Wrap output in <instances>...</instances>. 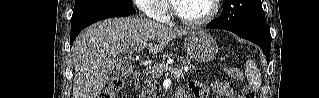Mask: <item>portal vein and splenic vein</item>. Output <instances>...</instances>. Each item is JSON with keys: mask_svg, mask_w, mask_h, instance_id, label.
<instances>
[{"mask_svg": "<svg viewBox=\"0 0 319 98\" xmlns=\"http://www.w3.org/2000/svg\"><path fill=\"white\" fill-rule=\"evenodd\" d=\"M146 46H147V43L145 42L143 44L138 45L134 50L136 52H139V51L144 50L146 48ZM162 70H165V71L169 70L176 77H182L184 75V71H186L187 68H184V70H181V69H177V68H173V67H168V65H164V64L160 65V67H158V66L153 67V73L155 75L161 74Z\"/></svg>", "mask_w": 319, "mask_h": 98, "instance_id": "1", "label": "portal vein and splenic vein"}]
</instances>
